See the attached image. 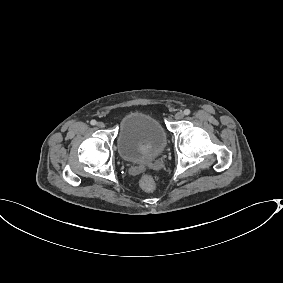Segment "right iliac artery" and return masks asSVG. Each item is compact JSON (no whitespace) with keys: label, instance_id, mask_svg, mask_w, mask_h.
Instances as JSON below:
<instances>
[{"label":"right iliac artery","instance_id":"obj_1","mask_svg":"<svg viewBox=\"0 0 283 283\" xmlns=\"http://www.w3.org/2000/svg\"><path fill=\"white\" fill-rule=\"evenodd\" d=\"M96 123H97L96 120H91L90 122L91 125H96Z\"/></svg>","mask_w":283,"mask_h":283}]
</instances>
